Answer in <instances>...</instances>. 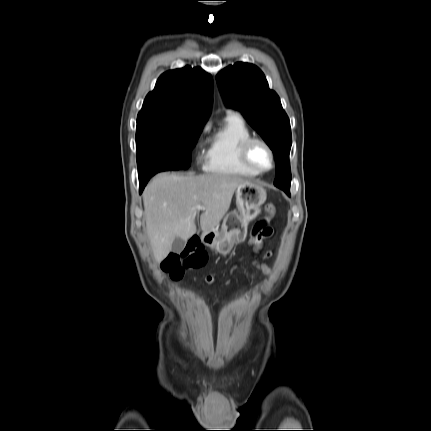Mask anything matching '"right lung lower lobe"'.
<instances>
[{
  "label": "right lung lower lobe",
  "instance_id": "1",
  "mask_svg": "<svg viewBox=\"0 0 431 431\" xmlns=\"http://www.w3.org/2000/svg\"><path fill=\"white\" fill-rule=\"evenodd\" d=\"M156 174V173H155ZM154 175V173H150L144 176H139L140 180V189L141 191L144 189L145 185L147 184L148 180Z\"/></svg>",
  "mask_w": 431,
  "mask_h": 431
}]
</instances>
